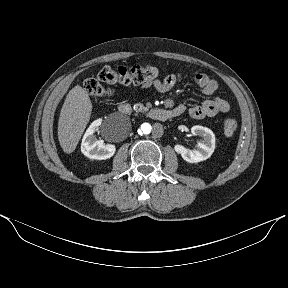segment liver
Here are the masks:
<instances>
[{"label": "liver", "instance_id": "6515ba94", "mask_svg": "<svg viewBox=\"0 0 288 288\" xmlns=\"http://www.w3.org/2000/svg\"><path fill=\"white\" fill-rule=\"evenodd\" d=\"M92 103L86 91L79 85L66 96L58 121V140L65 153H72L89 122Z\"/></svg>", "mask_w": 288, "mask_h": 288}]
</instances>
